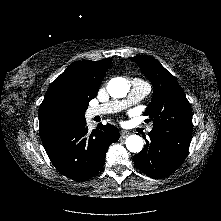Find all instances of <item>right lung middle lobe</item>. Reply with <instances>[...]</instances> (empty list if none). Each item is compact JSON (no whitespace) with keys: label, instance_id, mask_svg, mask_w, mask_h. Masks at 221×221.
Masks as SVG:
<instances>
[{"label":"right lung middle lobe","instance_id":"obj_1","mask_svg":"<svg viewBox=\"0 0 221 221\" xmlns=\"http://www.w3.org/2000/svg\"><path fill=\"white\" fill-rule=\"evenodd\" d=\"M88 103H89V102L86 103L85 109L88 107Z\"/></svg>","mask_w":221,"mask_h":221}]
</instances>
